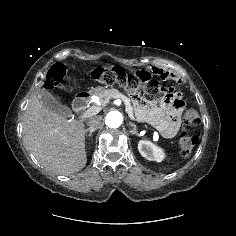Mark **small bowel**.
<instances>
[{
    "instance_id": "obj_1",
    "label": "small bowel",
    "mask_w": 236,
    "mask_h": 236,
    "mask_svg": "<svg viewBox=\"0 0 236 236\" xmlns=\"http://www.w3.org/2000/svg\"><path fill=\"white\" fill-rule=\"evenodd\" d=\"M138 71H144L151 76L158 75L165 81L174 79L172 74L163 70ZM181 111L182 105L179 100L161 99L157 104H150L141 100L138 105L137 115L140 119L155 126L164 137L171 138L176 135L179 129Z\"/></svg>"
}]
</instances>
